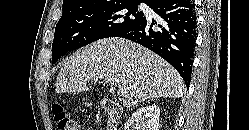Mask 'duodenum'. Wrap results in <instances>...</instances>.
<instances>
[{
    "label": "duodenum",
    "instance_id": "1",
    "mask_svg": "<svg viewBox=\"0 0 249 130\" xmlns=\"http://www.w3.org/2000/svg\"><path fill=\"white\" fill-rule=\"evenodd\" d=\"M102 108L107 114L105 130H119V123L122 117L121 107L112 100H102Z\"/></svg>",
    "mask_w": 249,
    "mask_h": 130
}]
</instances>
